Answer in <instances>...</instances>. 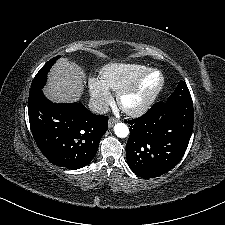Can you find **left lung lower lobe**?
Masks as SVG:
<instances>
[{"label": "left lung lower lobe", "instance_id": "0a47b994", "mask_svg": "<svg viewBox=\"0 0 225 225\" xmlns=\"http://www.w3.org/2000/svg\"><path fill=\"white\" fill-rule=\"evenodd\" d=\"M193 121L192 102H158L141 117L126 121L130 125L126 145L130 169L149 179L174 168L187 149Z\"/></svg>", "mask_w": 225, "mask_h": 225}]
</instances>
